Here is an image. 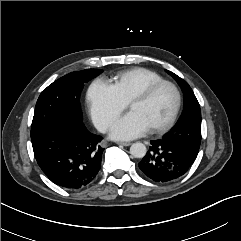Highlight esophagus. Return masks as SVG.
I'll return each mask as SVG.
<instances>
[{
    "mask_svg": "<svg viewBox=\"0 0 241 241\" xmlns=\"http://www.w3.org/2000/svg\"><path fill=\"white\" fill-rule=\"evenodd\" d=\"M117 144L122 145V146H130V142H117Z\"/></svg>",
    "mask_w": 241,
    "mask_h": 241,
    "instance_id": "1",
    "label": "esophagus"
}]
</instances>
